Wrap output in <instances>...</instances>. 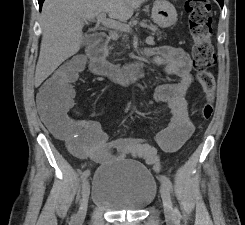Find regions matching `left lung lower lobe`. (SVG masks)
Wrapping results in <instances>:
<instances>
[{"instance_id":"0a47b994","label":"left lung lower lobe","mask_w":245,"mask_h":225,"mask_svg":"<svg viewBox=\"0 0 245 225\" xmlns=\"http://www.w3.org/2000/svg\"><path fill=\"white\" fill-rule=\"evenodd\" d=\"M217 1L219 2L220 6L223 7L224 0H217Z\"/></svg>"}]
</instances>
